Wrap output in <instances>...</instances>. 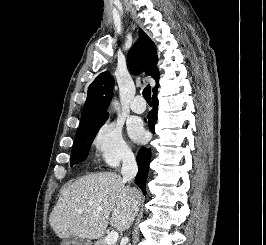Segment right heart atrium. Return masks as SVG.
<instances>
[{"mask_svg":"<svg viewBox=\"0 0 266 245\" xmlns=\"http://www.w3.org/2000/svg\"><path fill=\"white\" fill-rule=\"evenodd\" d=\"M92 145L98 162L106 168H116L122 162L131 161L134 157L123 135L122 127L116 122L103 123L96 130Z\"/></svg>","mask_w":266,"mask_h":245,"instance_id":"1","label":"right heart atrium"}]
</instances>
